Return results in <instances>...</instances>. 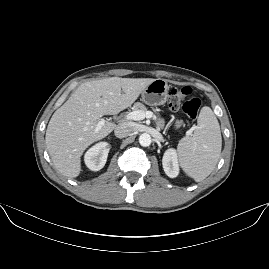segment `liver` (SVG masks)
I'll return each instance as SVG.
<instances>
[{
    "label": "liver",
    "mask_w": 269,
    "mask_h": 269,
    "mask_svg": "<svg viewBox=\"0 0 269 269\" xmlns=\"http://www.w3.org/2000/svg\"><path fill=\"white\" fill-rule=\"evenodd\" d=\"M155 80L109 77L82 83L54 112L47 126L45 143L56 169L64 176L78 177L85 151L116 128L107 122L94 134L98 124L94 117L115 115L131 107Z\"/></svg>",
    "instance_id": "obj_1"
}]
</instances>
